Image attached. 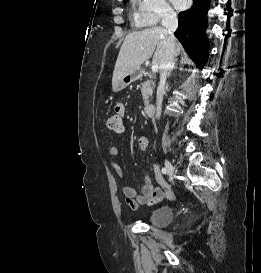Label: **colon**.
I'll use <instances>...</instances> for the list:
<instances>
[{
    "label": "colon",
    "mask_w": 261,
    "mask_h": 273,
    "mask_svg": "<svg viewBox=\"0 0 261 273\" xmlns=\"http://www.w3.org/2000/svg\"><path fill=\"white\" fill-rule=\"evenodd\" d=\"M107 126L110 130L119 131L122 129V118L119 115H111L107 120Z\"/></svg>",
    "instance_id": "5ec220e1"
}]
</instances>
